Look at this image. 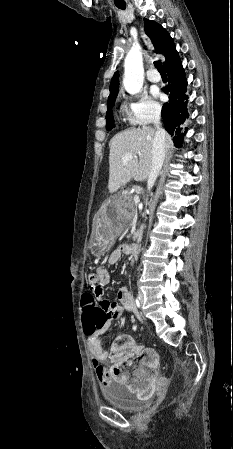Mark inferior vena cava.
I'll return each instance as SVG.
<instances>
[{
    "label": "inferior vena cava",
    "mask_w": 233,
    "mask_h": 449,
    "mask_svg": "<svg viewBox=\"0 0 233 449\" xmlns=\"http://www.w3.org/2000/svg\"><path fill=\"white\" fill-rule=\"evenodd\" d=\"M153 122L157 130L152 145V167L147 181L148 190L155 184L165 158V133L160 128V114L155 116Z\"/></svg>",
    "instance_id": "602c4592"
}]
</instances>
